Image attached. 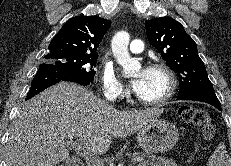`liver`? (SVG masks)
<instances>
[{
	"instance_id": "6515ba94",
	"label": "liver",
	"mask_w": 231,
	"mask_h": 166,
	"mask_svg": "<svg viewBox=\"0 0 231 166\" xmlns=\"http://www.w3.org/2000/svg\"><path fill=\"white\" fill-rule=\"evenodd\" d=\"M160 107L117 110L88 89L60 82L27 101L10 125L7 166H54L69 158L61 140L80 139L93 154L113 137L130 136L157 119Z\"/></svg>"
}]
</instances>
